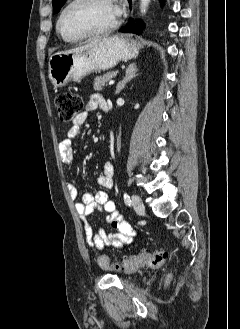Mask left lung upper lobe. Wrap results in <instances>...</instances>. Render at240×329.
Wrapping results in <instances>:
<instances>
[{
  "instance_id": "5c2ea615",
  "label": "left lung upper lobe",
  "mask_w": 240,
  "mask_h": 329,
  "mask_svg": "<svg viewBox=\"0 0 240 329\" xmlns=\"http://www.w3.org/2000/svg\"><path fill=\"white\" fill-rule=\"evenodd\" d=\"M66 0H53V8L54 11L57 13L61 9V7L64 5Z\"/></svg>"
}]
</instances>
